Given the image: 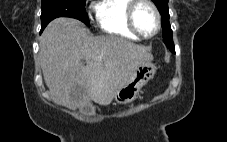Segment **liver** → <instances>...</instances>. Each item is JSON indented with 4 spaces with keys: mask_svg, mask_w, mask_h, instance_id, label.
I'll return each instance as SVG.
<instances>
[{
    "mask_svg": "<svg viewBox=\"0 0 227 142\" xmlns=\"http://www.w3.org/2000/svg\"><path fill=\"white\" fill-rule=\"evenodd\" d=\"M39 46L50 94L71 109L82 108L89 101L109 105L137 68L153 60L144 47L126 39L91 36L86 26L73 18L51 21Z\"/></svg>",
    "mask_w": 227,
    "mask_h": 142,
    "instance_id": "obj_1",
    "label": "liver"
}]
</instances>
